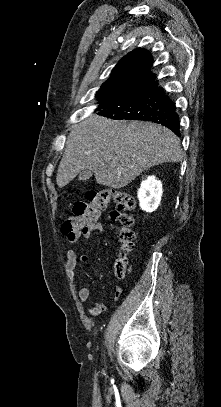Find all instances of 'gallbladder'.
<instances>
[{
	"label": "gallbladder",
	"mask_w": 221,
	"mask_h": 407,
	"mask_svg": "<svg viewBox=\"0 0 221 407\" xmlns=\"http://www.w3.org/2000/svg\"><path fill=\"white\" fill-rule=\"evenodd\" d=\"M93 175L92 171L90 170H84L79 174V180H87L91 178Z\"/></svg>",
	"instance_id": "bac80fb5"
}]
</instances>
